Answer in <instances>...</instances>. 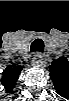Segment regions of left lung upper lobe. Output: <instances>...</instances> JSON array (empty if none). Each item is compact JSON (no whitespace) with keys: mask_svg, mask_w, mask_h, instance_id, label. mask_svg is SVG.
<instances>
[{"mask_svg":"<svg viewBox=\"0 0 69 101\" xmlns=\"http://www.w3.org/2000/svg\"><path fill=\"white\" fill-rule=\"evenodd\" d=\"M49 71L56 91L60 95H65L69 85V62L66 58L61 57L52 62Z\"/></svg>","mask_w":69,"mask_h":101,"instance_id":"left-lung-upper-lobe-1","label":"left lung upper lobe"}]
</instances>
